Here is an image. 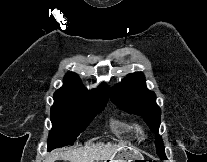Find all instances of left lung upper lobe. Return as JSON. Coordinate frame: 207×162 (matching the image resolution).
Listing matches in <instances>:
<instances>
[{"mask_svg": "<svg viewBox=\"0 0 207 162\" xmlns=\"http://www.w3.org/2000/svg\"><path fill=\"white\" fill-rule=\"evenodd\" d=\"M110 99L120 109L142 116L155 136V146L161 160H166L164 145L158 135L161 110L156 104L154 92L147 89L144 75L140 72L129 74L121 84L110 91Z\"/></svg>", "mask_w": 207, "mask_h": 162, "instance_id": "1", "label": "left lung upper lobe"}]
</instances>
